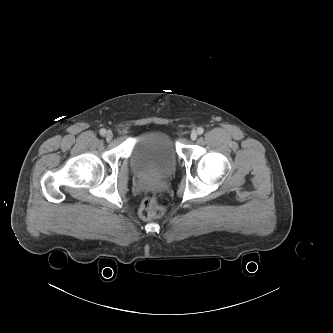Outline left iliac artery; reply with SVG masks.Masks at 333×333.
I'll return each instance as SVG.
<instances>
[{
	"label": "left iliac artery",
	"instance_id": "obj_1",
	"mask_svg": "<svg viewBox=\"0 0 333 333\" xmlns=\"http://www.w3.org/2000/svg\"><path fill=\"white\" fill-rule=\"evenodd\" d=\"M197 132H198L199 135H201V134H203L204 129H203L202 127H199V128L197 129Z\"/></svg>",
	"mask_w": 333,
	"mask_h": 333
}]
</instances>
